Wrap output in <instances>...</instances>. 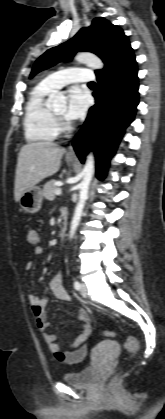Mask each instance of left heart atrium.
Here are the masks:
<instances>
[{
	"mask_svg": "<svg viewBox=\"0 0 165 419\" xmlns=\"http://www.w3.org/2000/svg\"><path fill=\"white\" fill-rule=\"evenodd\" d=\"M88 106L87 94L80 88L74 87L68 95L67 109L65 117L67 120L74 121L85 115Z\"/></svg>",
	"mask_w": 165,
	"mask_h": 419,
	"instance_id": "1",
	"label": "left heart atrium"
}]
</instances>
